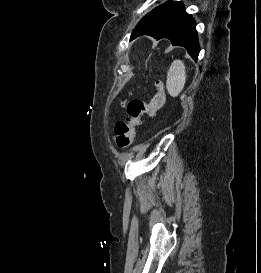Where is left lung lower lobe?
I'll return each instance as SVG.
<instances>
[{"label":"left lung lower lobe","instance_id":"obj_1","mask_svg":"<svg viewBox=\"0 0 261 273\" xmlns=\"http://www.w3.org/2000/svg\"><path fill=\"white\" fill-rule=\"evenodd\" d=\"M195 21L179 1H168L144 16L131 34V40L150 35L157 40L167 38L174 46L186 48L197 60L200 51Z\"/></svg>","mask_w":261,"mask_h":273}]
</instances>
